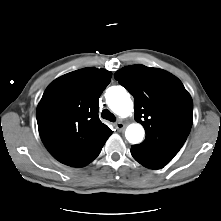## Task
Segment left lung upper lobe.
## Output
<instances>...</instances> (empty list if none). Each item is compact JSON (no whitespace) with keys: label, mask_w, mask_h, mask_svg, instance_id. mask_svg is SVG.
Segmentation results:
<instances>
[{"label":"left lung upper lobe","mask_w":221,"mask_h":221,"mask_svg":"<svg viewBox=\"0 0 221 221\" xmlns=\"http://www.w3.org/2000/svg\"><path fill=\"white\" fill-rule=\"evenodd\" d=\"M115 79L134 97L135 120L146 132L141 144L173 158L193 122V102L182 82L165 70L140 64L118 70Z\"/></svg>","instance_id":"5c2ea615"}]
</instances>
